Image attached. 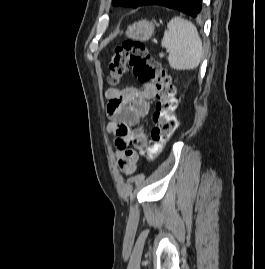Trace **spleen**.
Wrapping results in <instances>:
<instances>
[{
	"label": "spleen",
	"instance_id": "spleen-1",
	"mask_svg": "<svg viewBox=\"0 0 265 269\" xmlns=\"http://www.w3.org/2000/svg\"><path fill=\"white\" fill-rule=\"evenodd\" d=\"M161 45L169 53L167 60L174 70H192L198 67L203 55L202 41L196 26L181 17L167 24Z\"/></svg>",
	"mask_w": 265,
	"mask_h": 269
}]
</instances>
